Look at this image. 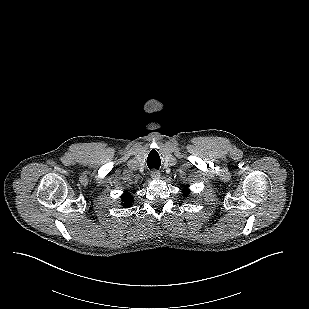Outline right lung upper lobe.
Returning <instances> with one entry per match:
<instances>
[{
  "label": "right lung upper lobe",
  "instance_id": "obj_1",
  "mask_svg": "<svg viewBox=\"0 0 309 309\" xmlns=\"http://www.w3.org/2000/svg\"><path fill=\"white\" fill-rule=\"evenodd\" d=\"M121 200L124 207L128 208L132 206L133 197L129 192L125 191V193L121 197Z\"/></svg>",
  "mask_w": 309,
  "mask_h": 309
}]
</instances>
